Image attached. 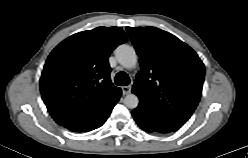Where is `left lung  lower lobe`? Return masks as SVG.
Returning <instances> with one entry per match:
<instances>
[{
    "instance_id": "1",
    "label": "left lung lower lobe",
    "mask_w": 248,
    "mask_h": 158,
    "mask_svg": "<svg viewBox=\"0 0 248 158\" xmlns=\"http://www.w3.org/2000/svg\"><path fill=\"white\" fill-rule=\"evenodd\" d=\"M132 115L140 128L147 132L169 133L176 131L161 119L139 106L132 111Z\"/></svg>"
}]
</instances>
